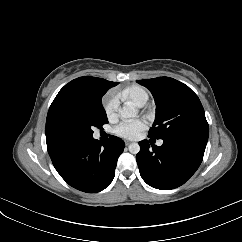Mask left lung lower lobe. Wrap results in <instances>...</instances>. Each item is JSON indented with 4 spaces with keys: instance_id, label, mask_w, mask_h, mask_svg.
Listing matches in <instances>:
<instances>
[{
    "instance_id": "left-lung-lower-lobe-1",
    "label": "left lung lower lobe",
    "mask_w": 242,
    "mask_h": 242,
    "mask_svg": "<svg viewBox=\"0 0 242 242\" xmlns=\"http://www.w3.org/2000/svg\"><path fill=\"white\" fill-rule=\"evenodd\" d=\"M156 146L147 140L140 141L136 155L140 175L151 187L170 190L184 184L200 166L207 140L186 138L163 140Z\"/></svg>"
}]
</instances>
